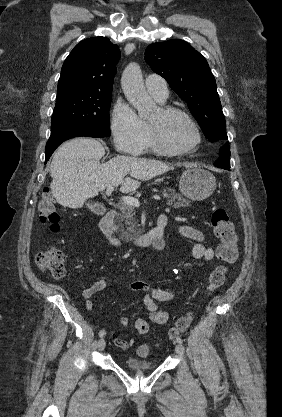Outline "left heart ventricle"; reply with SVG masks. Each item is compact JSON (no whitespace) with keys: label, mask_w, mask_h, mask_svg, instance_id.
Listing matches in <instances>:
<instances>
[{"label":"left heart ventricle","mask_w":282,"mask_h":417,"mask_svg":"<svg viewBox=\"0 0 282 417\" xmlns=\"http://www.w3.org/2000/svg\"><path fill=\"white\" fill-rule=\"evenodd\" d=\"M149 122L161 132L166 142L172 146H187L194 141L191 128L181 117H165L157 109L149 118Z\"/></svg>","instance_id":"1"}]
</instances>
